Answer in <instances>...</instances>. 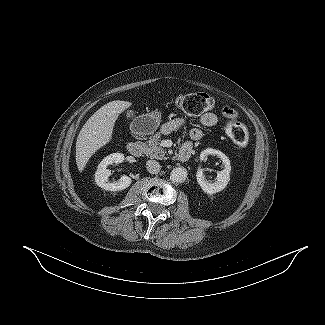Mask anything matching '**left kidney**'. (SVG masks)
Listing matches in <instances>:
<instances>
[{
    "mask_svg": "<svg viewBox=\"0 0 325 325\" xmlns=\"http://www.w3.org/2000/svg\"><path fill=\"white\" fill-rule=\"evenodd\" d=\"M208 155H214L222 160L223 170L217 173L216 181H208L203 174V169L199 168L196 174L197 182L201 189L210 195L221 192L230 181L231 165L228 157L221 151L207 148L203 150L200 154V160L204 161L207 159Z\"/></svg>",
    "mask_w": 325,
    "mask_h": 325,
    "instance_id": "obj_1",
    "label": "left kidney"
}]
</instances>
